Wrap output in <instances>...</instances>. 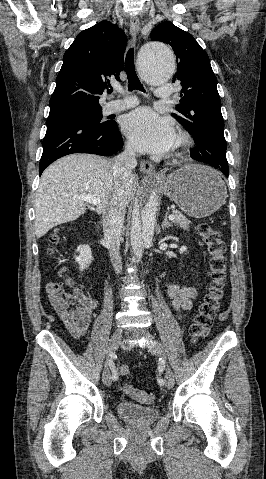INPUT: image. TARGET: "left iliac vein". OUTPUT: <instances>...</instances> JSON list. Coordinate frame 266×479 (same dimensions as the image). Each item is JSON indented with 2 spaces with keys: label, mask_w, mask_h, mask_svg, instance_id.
<instances>
[{
  "label": "left iliac vein",
  "mask_w": 266,
  "mask_h": 479,
  "mask_svg": "<svg viewBox=\"0 0 266 479\" xmlns=\"http://www.w3.org/2000/svg\"><path fill=\"white\" fill-rule=\"evenodd\" d=\"M136 334L143 335L147 340L150 341L148 349L151 354L155 356H164L163 346L148 331L138 330L136 331ZM164 383L167 389H171L174 386V375L169 368L166 370Z\"/></svg>",
  "instance_id": "obj_1"
}]
</instances>
